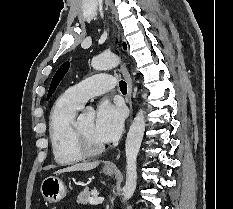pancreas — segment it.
I'll use <instances>...</instances> for the list:
<instances>
[{"instance_id": "pancreas-1", "label": "pancreas", "mask_w": 233, "mask_h": 209, "mask_svg": "<svg viewBox=\"0 0 233 209\" xmlns=\"http://www.w3.org/2000/svg\"><path fill=\"white\" fill-rule=\"evenodd\" d=\"M91 193L88 188H85L84 191L80 192L77 197V203L87 205L89 203V199L91 198Z\"/></svg>"}]
</instances>
